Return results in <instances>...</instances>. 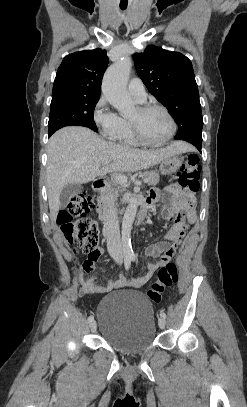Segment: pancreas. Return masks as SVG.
Here are the masks:
<instances>
[{
    "mask_svg": "<svg viewBox=\"0 0 247 407\" xmlns=\"http://www.w3.org/2000/svg\"><path fill=\"white\" fill-rule=\"evenodd\" d=\"M142 176L148 180L147 183L148 185L151 186L158 184V182L160 181V176L155 171L144 172ZM124 189L125 188L123 184L115 182L112 185V187H108L101 191L100 193L101 202L116 200L117 197L119 196V193L124 191Z\"/></svg>",
    "mask_w": 247,
    "mask_h": 407,
    "instance_id": "cf45deb5",
    "label": "pancreas"
}]
</instances>
